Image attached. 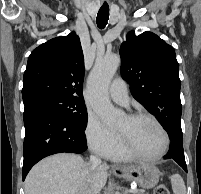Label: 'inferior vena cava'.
I'll use <instances>...</instances> for the list:
<instances>
[{
    "label": "inferior vena cava",
    "instance_id": "obj_1",
    "mask_svg": "<svg viewBox=\"0 0 201 194\" xmlns=\"http://www.w3.org/2000/svg\"><path fill=\"white\" fill-rule=\"evenodd\" d=\"M102 161L100 158L91 155L90 156V163L88 165H92V166H99L101 165ZM80 194H91V191L89 189H87V187H85L84 189L81 190Z\"/></svg>",
    "mask_w": 201,
    "mask_h": 194
}]
</instances>
